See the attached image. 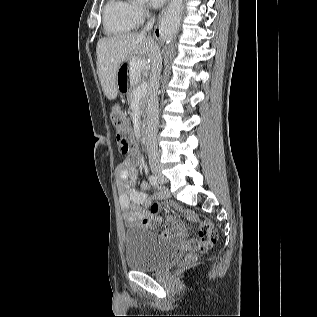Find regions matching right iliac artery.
<instances>
[{
    "mask_svg": "<svg viewBox=\"0 0 317 317\" xmlns=\"http://www.w3.org/2000/svg\"><path fill=\"white\" fill-rule=\"evenodd\" d=\"M149 181L152 185L157 186L158 185V179L156 176L154 175H150L149 176Z\"/></svg>",
    "mask_w": 317,
    "mask_h": 317,
    "instance_id": "1",
    "label": "right iliac artery"
}]
</instances>
